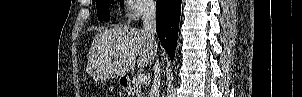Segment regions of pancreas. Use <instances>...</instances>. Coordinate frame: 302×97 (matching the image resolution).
I'll return each mask as SVG.
<instances>
[{
    "label": "pancreas",
    "instance_id": "1",
    "mask_svg": "<svg viewBox=\"0 0 302 97\" xmlns=\"http://www.w3.org/2000/svg\"><path fill=\"white\" fill-rule=\"evenodd\" d=\"M132 97H144V93L142 92V87L139 84H134L131 89Z\"/></svg>",
    "mask_w": 302,
    "mask_h": 97
}]
</instances>
